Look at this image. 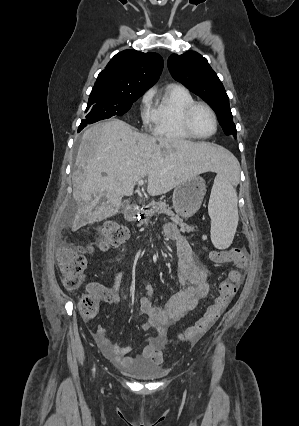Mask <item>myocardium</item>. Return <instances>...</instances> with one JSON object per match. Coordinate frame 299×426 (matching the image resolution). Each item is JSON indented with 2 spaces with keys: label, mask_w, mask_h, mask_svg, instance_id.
<instances>
[{
  "label": "myocardium",
  "mask_w": 299,
  "mask_h": 426,
  "mask_svg": "<svg viewBox=\"0 0 299 426\" xmlns=\"http://www.w3.org/2000/svg\"><path fill=\"white\" fill-rule=\"evenodd\" d=\"M200 107L205 108L210 113V115L212 116L213 121H214V131L207 136H202V135L197 134L194 131V129L192 127V123H191L193 113L195 112V110L197 108H200ZM182 125H183V128L186 131V133L188 135H190L192 138H196V139H209L217 133L218 128H219L218 118H217V115H216L215 111L213 110V108L210 105H208L207 103L198 102V101L191 103L190 105H188L185 108L183 115H182Z\"/></svg>",
  "instance_id": "1"
}]
</instances>
